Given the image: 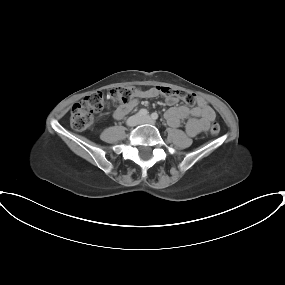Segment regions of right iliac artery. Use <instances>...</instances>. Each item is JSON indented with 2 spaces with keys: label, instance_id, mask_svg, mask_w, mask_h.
<instances>
[{
  "label": "right iliac artery",
  "instance_id": "1",
  "mask_svg": "<svg viewBox=\"0 0 285 285\" xmlns=\"http://www.w3.org/2000/svg\"><path fill=\"white\" fill-rule=\"evenodd\" d=\"M138 114H139L140 116H146V115L148 114V111H147L146 109H141V110L138 112Z\"/></svg>",
  "mask_w": 285,
  "mask_h": 285
}]
</instances>
